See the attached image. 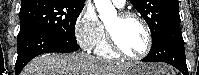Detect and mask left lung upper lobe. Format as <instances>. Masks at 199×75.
Wrapping results in <instances>:
<instances>
[{"label": "left lung upper lobe", "mask_w": 199, "mask_h": 75, "mask_svg": "<svg viewBox=\"0 0 199 75\" xmlns=\"http://www.w3.org/2000/svg\"><path fill=\"white\" fill-rule=\"evenodd\" d=\"M147 22L152 42L157 41L165 31L180 24L178 0H130Z\"/></svg>", "instance_id": "left-lung-upper-lobe-1"}]
</instances>
